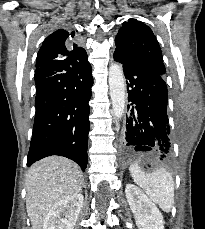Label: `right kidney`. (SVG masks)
Masks as SVG:
<instances>
[{
    "label": "right kidney",
    "mask_w": 205,
    "mask_h": 229,
    "mask_svg": "<svg viewBox=\"0 0 205 229\" xmlns=\"http://www.w3.org/2000/svg\"><path fill=\"white\" fill-rule=\"evenodd\" d=\"M83 201L82 194H74L58 201L49 210L43 229H74Z\"/></svg>",
    "instance_id": "ca27d5eb"
}]
</instances>
